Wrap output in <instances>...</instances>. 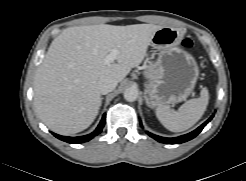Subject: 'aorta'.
<instances>
[{"instance_id":"762f6f07","label":"aorta","mask_w":246,"mask_h":181,"mask_svg":"<svg viewBox=\"0 0 246 181\" xmlns=\"http://www.w3.org/2000/svg\"><path fill=\"white\" fill-rule=\"evenodd\" d=\"M124 98L128 102H134L138 98V90L134 87H129L124 91Z\"/></svg>"}]
</instances>
